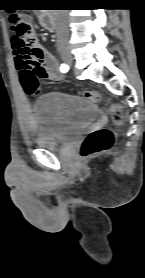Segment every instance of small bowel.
I'll use <instances>...</instances> for the list:
<instances>
[{
    "instance_id": "small-bowel-1",
    "label": "small bowel",
    "mask_w": 145,
    "mask_h": 278,
    "mask_svg": "<svg viewBox=\"0 0 145 278\" xmlns=\"http://www.w3.org/2000/svg\"><path fill=\"white\" fill-rule=\"evenodd\" d=\"M26 23H31L32 17L29 14L19 16ZM12 52L14 62L18 70L19 81L24 93L26 87L30 85V80L37 75L47 81H55L61 77V70L54 56L48 52L33 36L30 38L28 47L21 44V39L14 34L12 37ZM31 119V123H32Z\"/></svg>"
}]
</instances>
